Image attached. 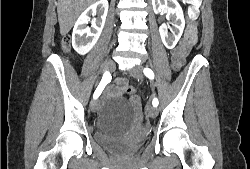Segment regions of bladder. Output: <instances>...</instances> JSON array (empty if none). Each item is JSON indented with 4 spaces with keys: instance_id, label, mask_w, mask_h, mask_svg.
I'll use <instances>...</instances> for the list:
<instances>
[{
    "instance_id": "bladder-1",
    "label": "bladder",
    "mask_w": 250,
    "mask_h": 169,
    "mask_svg": "<svg viewBox=\"0 0 250 169\" xmlns=\"http://www.w3.org/2000/svg\"><path fill=\"white\" fill-rule=\"evenodd\" d=\"M94 140L100 148L114 152L132 153L142 146L131 145L126 139V134L94 133Z\"/></svg>"
}]
</instances>
